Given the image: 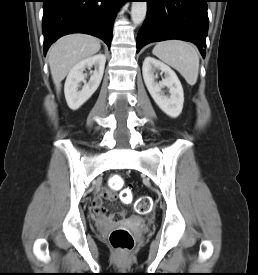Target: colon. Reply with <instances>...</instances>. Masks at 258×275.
<instances>
[{"mask_svg": "<svg viewBox=\"0 0 258 275\" xmlns=\"http://www.w3.org/2000/svg\"><path fill=\"white\" fill-rule=\"evenodd\" d=\"M124 180L119 175H114L110 179V187L113 190H119L122 188ZM120 198L123 202H130L132 200V193L129 190H122ZM152 208V202L149 197L143 196L139 199L136 205V211L139 214H146ZM122 216L121 213L111 214V218L119 219ZM109 241L112 247L117 250L129 252L134 248L135 240L132 233L126 228H115L109 235Z\"/></svg>", "mask_w": 258, "mask_h": 275, "instance_id": "1", "label": "colon"}]
</instances>
